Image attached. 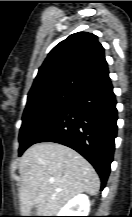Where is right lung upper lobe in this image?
Here are the masks:
<instances>
[{
  "label": "right lung upper lobe",
  "mask_w": 132,
  "mask_h": 217,
  "mask_svg": "<svg viewBox=\"0 0 132 217\" xmlns=\"http://www.w3.org/2000/svg\"><path fill=\"white\" fill-rule=\"evenodd\" d=\"M109 81L104 48L97 36L78 32L50 51L39 68L28 97L56 91L79 95Z\"/></svg>",
  "instance_id": "1"
}]
</instances>
